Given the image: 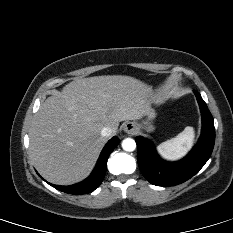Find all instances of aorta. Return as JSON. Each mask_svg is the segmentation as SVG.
I'll list each match as a JSON object with an SVG mask.
<instances>
[{
	"label": "aorta",
	"instance_id": "1",
	"mask_svg": "<svg viewBox=\"0 0 233 233\" xmlns=\"http://www.w3.org/2000/svg\"><path fill=\"white\" fill-rule=\"evenodd\" d=\"M122 148L125 151L131 152L136 149V142L132 138H126L122 141Z\"/></svg>",
	"mask_w": 233,
	"mask_h": 233
}]
</instances>
